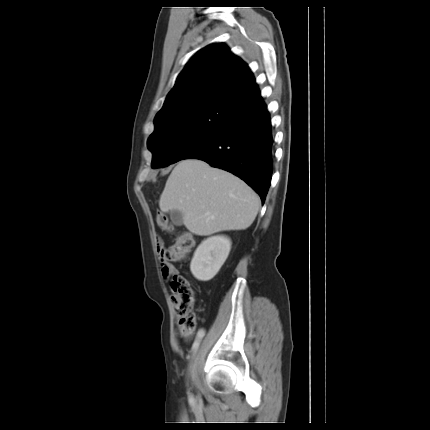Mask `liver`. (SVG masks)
<instances>
[{"instance_id":"1","label":"liver","mask_w":430,"mask_h":430,"mask_svg":"<svg viewBox=\"0 0 430 430\" xmlns=\"http://www.w3.org/2000/svg\"><path fill=\"white\" fill-rule=\"evenodd\" d=\"M259 206L257 194L239 177L194 158L175 166L159 200L162 212L180 211L185 227L198 236L245 230Z\"/></svg>"}]
</instances>
